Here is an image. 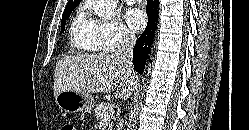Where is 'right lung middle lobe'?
Listing matches in <instances>:
<instances>
[{"label":"right lung middle lobe","instance_id":"1","mask_svg":"<svg viewBox=\"0 0 249 130\" xmlns=\"http://www.w3.org/2000/svg\"><path fill=\"white\" fill-rule=\"evenodd\" d=\"M78 4L79 3L70 4V5L66 6V8L64 10V13L62 15V21H61V30H62V32H64V29H65L66 19H68L71 12L77 7Z\"/></svg>","mask_w":249,"mask_h":130}]
</instances>
